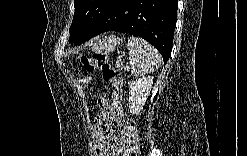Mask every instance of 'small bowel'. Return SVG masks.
Returning <instances> with one entry per match:
<instances>
[{
  "instance_id": "obj_1",
  "label": "small bowel",
  "mask_w": 247,
  "mask_h": 156,
  "mask_svg": "<svg viewBox=\"0 0 247 156\" xmlns=\"http://www.w3.org/2000/svg\"><path fill=\"white\" fill-rule=\"evenodd\" d=\"M122 99L123 91L118 89L113 91L110 101H99L101 114L95 118L92 128L97 155L124 156L130 148L132 139L125 122ZM116 130L119 131V137L115 136Z\"/></svg>"
}]
</instances>
